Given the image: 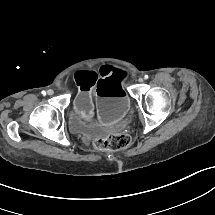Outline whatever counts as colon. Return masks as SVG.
Segmentation results:
<instances>
[{"instance_id": "obj_1", "label": "colon", "mask_w": 215, "mask_h": 215, "mask_svg": "<svg viewBox=\"0 0 215 215\" xmlns=\"http://www.w3.org/2000/svg\"><path fill=\"white\" fill-rule=\"evenodd\" d=\"M93 145L98 150H118L129 145V137L121 133L98 137L93 140Z\"/></svg>"}]
</instances>
